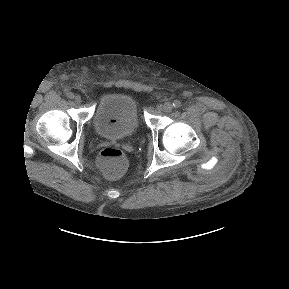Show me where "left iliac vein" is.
<instances>
[{
	"label": "left iliac vein",
	"mask_w": 289,
	"mask_h": 289,
	"mask_svg": "<svg viewBox=\"0 0 289 289\" xmlns=\"http://www.w3.org/2000/svg\"><path fill=\"white\" fill-rule=\"evenodd\" d=\"M162 111L164 112H170L173 109V105L170 102H165L162 107Z\"/></svg>",
	"instance_id": "1"
}]
</instances>
